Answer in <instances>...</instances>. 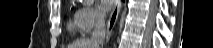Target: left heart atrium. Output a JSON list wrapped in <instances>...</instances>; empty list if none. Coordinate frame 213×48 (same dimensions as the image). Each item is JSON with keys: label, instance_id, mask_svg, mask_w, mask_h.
Listing matches in <instances>:
<instances>
[{"label": "left heart atrium", "instance_id": "obj_1", "mask_svg": "<svg viewBox=\"0 0 213 48\" xmlns=\"http://www.w3.org/2000/svg\"><path fill=\"white\" fill-rule=\"evenodd\" d=\"M114 3H115L114 0H102L100 2V10L103 13H106V12L111 10V8L113 7Z\"/></svg>", "mask_w": 213, "mask_h": 48}]
</instances>
